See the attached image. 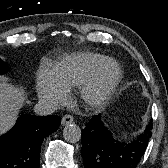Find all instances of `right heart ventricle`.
<instances>
[{
    "instance_id": "1",
    "label": "right heart ventricle",
    "mask_w": 168,
    "mask_h": 168,
    "mask_svg": "<svg viewBox=\"0 0 168 168\" xmlns=\"http://www.w3.org/2000/svg\"><path fill=\"white\" fill-rule=\"evenodd\" d=\"M108 58L92 52L65 56L51 71L54 79L65 90L80 87Z\"/></svg>"
}]
</instances>
